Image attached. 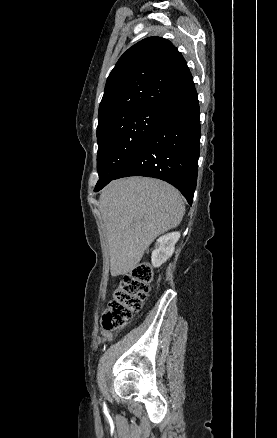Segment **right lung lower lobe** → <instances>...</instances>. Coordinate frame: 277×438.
Listing matches in <instances>:
<instances>
[{"label":"right lung lower lobe","instance_id":"98d812e1","mask_svg":"<svg viewBox=\"0 0 277 438\" xmlns=\"http://www.w3.org/2000/svg\"><path fill=\"white\" fill-rule=\"evenodd\" d=\"M200 131L199 102L193 88L166 106L144 143L112 180L128 176L159 178L175 186L191 205L197 183ZM104 186H96L94 191Z\"/></svg>","mask_w":277,"mask_h":438}]
</instances>
